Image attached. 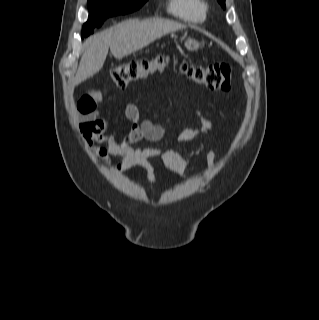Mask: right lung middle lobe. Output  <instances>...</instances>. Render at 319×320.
Here are the masks:
<instances>
[{
    "label": "right lung middle lobe",
    "instance_id": "1",
    "mask_svg": "<svg viewBox=\"0 0 319 320\" xmlns=\"http://www.w3.org/2000/svg\"><path fill=\"white\" fill-rule=\"evenodd\" d=\"M147 0H88L89 19L82 29V37L93 33L110 16L126 14L141 8Z\"/></svg>",
    "mask_w": 319,
    "mask_h": 320
}]
</instances>
